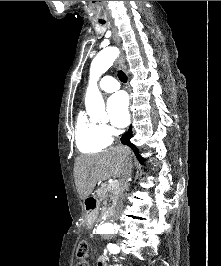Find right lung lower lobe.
I'll list each match as a JSON object with an SVG mask.
<instances>
[{
	"label": "right lung lower lobe",
	"instance_id": "98d812e1",
	"mask_svg": "<svg viewBox=\"0 0 221 266\" xmlns=\"http://www.w3.org/2000/svg\"><path fill=\"white\" fill-rule=\"evenodd\" d=\"M131 137H132V128H129L128 132L125 133V134L121 137V142H122V144H125V145L129 146V147L134 151V153L136 154V156H137L139 162H140L141 164H143L144 159H143L142 157L139 156V150L137 149V147H136L134 144H132V143L130 142Z\"/></svg>",
	"mask_w": 221,
	"mask_h": 266
}]
</instances>
